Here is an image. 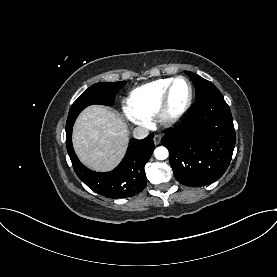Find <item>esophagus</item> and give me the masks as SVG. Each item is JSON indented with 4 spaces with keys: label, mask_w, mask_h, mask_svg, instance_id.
<instances>
[{
    "label": "esophagus",
    "mask_w": 277,
    "mask_h": 277,
    "mask_svg": "<svg viewBox=\"0 0 277 277\" xmlns=\"http://www.w3.org/2000/svg\"><path fill=\"white\" fill-rule=\"evenodd\" d=\"M160 141H161V135L156 134V135L154 136V144H155V145H158V144H160Z\"/></svg>",
    "instance_id": "obj_1"
}]
</instances>
